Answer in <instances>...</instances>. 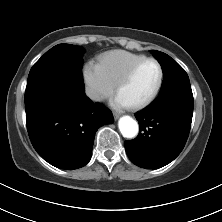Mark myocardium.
Wrapping results in <instances>:
<instances>
[{
    "instance_id": "myocardium-1",
    "label": "myocardium",
    "mask_w": 222,
    "mask_h": 222,
    "mask_svg": "<svg viewBox=\"0 0 222 222\" xmlns=\"http://www.w3.org/2000/svg\"><path fill=\"white\" fill-rule=\"evenodd\" d=\"M152 62L156 64L158 71H159V78L156 87L154 88L153 92L150 94V96L145 99L144 101L130 105V108L133 110H141L147 106H149L158 96L164 79V72L161 64L159 61H157L154 58H145L136 64H134L127 72L126 74L118 81V83L115 86V91L118 93L124 86H126L133 78L137 70L145 63Z\"/></svg>"
}]
</instances>
